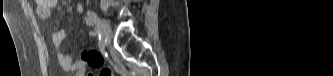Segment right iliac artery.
I'll return each mask as SVG.
<instances>
[{
	"label": "right iliac artery",
	"instance_id": "82829eb1",
	"mask_svg": "<svg viewBox=\"0 0 333 76\" xmlns=\"http://www.w3.org/2000/svg\"><path fill=\"white\" fill-rule=\"evenodd\" d=\"M87 16L89 17V19L93 22V24L96 27V32L98 34V38H99V46H102L103 42H104V38L102 36V31H101V27H100V20L97 17V15L92 12V11H87Z\"/></svg>",
	"mask_w": 333,
	"mask_h": 76
}]
</instances>
